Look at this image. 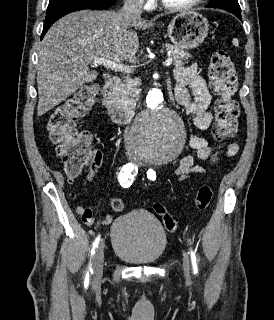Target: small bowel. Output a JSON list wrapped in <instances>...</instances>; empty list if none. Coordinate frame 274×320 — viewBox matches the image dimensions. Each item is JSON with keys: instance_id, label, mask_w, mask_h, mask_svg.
I'll return each mask as SVG.
<instances>
[{"instance_id": "c3829d8e", "label": "small bowel", "mask_w": 274, "mask_h": 320, "mask_svg": "<svg viewBox=\"0 0 274 320\" xmlns=\"http://www.w3.org/2000/svg\"><path fill=\"white\" fill-rule=\"evenodd\" d=\"M190 86L193 96L187 91ZM174 94L178 103L185 109L186 113L192 118L194 126L201 131L207 130L213 121L211 110L212 97L209 92L205 79L199 74L196 65L179 67L174 72ZM189 146L194 150V154L184 155L174 173L179 180L189 178L192 174L203 173L204 168L196 161L208 159L214 152L213 147L206 138L191 134L188 138ZM237 151V144H231L226 155L231 156ZM85 160L88 162L86 180L92 181L103 164V154L99 149H90ZM75 211L80 216L85 225H92L93 213L90 208L76 206ZM112 218L107 216L104 223H110Z\"/></svg>"}]
</instances>
